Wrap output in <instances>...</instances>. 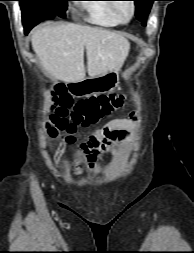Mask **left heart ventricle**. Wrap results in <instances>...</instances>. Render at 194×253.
Here are the masks:
<instances>
[{
  "label": "left heart ventricle",
  "instance_id": "b2bd125f",
  "mask_svg": "<svg viewBox=\"0 0 194 253\" xmlns=\"http://www.w3.org/2000/svg\"><path fill=\"white\" fill-rule=\"evenodd\" d=\"M118 8L124 18H128L132 11V4L130 1H120L117 3Z\"/></svg>",
  "mask_w": 194,
  "mask_h": 253
}]
</instances>
